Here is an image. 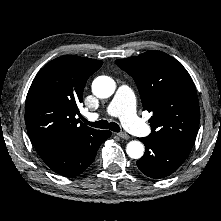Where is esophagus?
Instances as JSON below:
<instances>
[{
	"label": "esophagus",
	"mask_w": 221,
	"mask_h": 221,
	"mask_svg": "<svg viewBox=\"0 0 221 221\" xmlns=\"http://www.w3.org/2000/svg\"><path fill=\"white\" fill-rule=\"evenodd\" d=\"M118 136L122 139H129L130 138L129 135L125 132L118 133Z\"/></svg>",
	"instance_id": "obj_1"
}]
</instances>
